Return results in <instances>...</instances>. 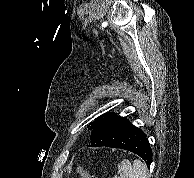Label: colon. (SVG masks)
Returning a JSON list of instances; mask_svg holds the SVG:
<instances>
[{"label":"colon","mask_w":194,"mask_h":178,"mask_svg":"<svg viewBox=\"0 0 194 178\" xmlns=\"http://www.w3.org/2000/svg\"><path fill=\"white\" fill-rule=\"evenodd\" d=\"M78 175H79L80 178H96L94 175L88 173L84 169H79L78 170Z\"/></svg>","instance_id":"1"}]
</instances>
